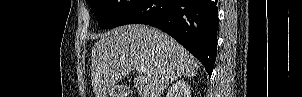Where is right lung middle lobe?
<instances>
[{
    "label": "right lung middle lobe",
    "mask_w": 302,
    "mask_h": 97,
    "mask_svg": "<svg viewBox=\"0 0 302 97\" xmlns=\"http://www.w3.org/2000/svg\"><path fill=\"white\" fill-rule=\"evenodd\" d=\"M144 0H88L101 28H114Z\"/></svg>",
    "instance_id": "1"
}]
</instances>
